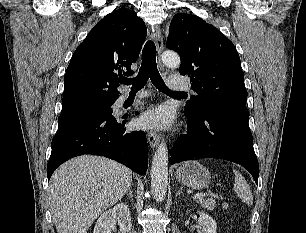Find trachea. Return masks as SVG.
Listing matches in <instances>:
<instances>
[{
  "label": "trachea",
  "instance_id": "trachea-1",
  "mask_svg": "<svg viewBox=\"0 0 306 233\" xmlns=\"http://www.w3.org/2000/svg\"><path fill=\"white\" fill-rule=\"evenodd\" d=\"M150 78L153 85L163 93L176 95L183 92H173L165 85L156 64V47L153 41H148L142 51V64L135 78H121L120 83L132 85L131 92L142 89Z\"/></svg>",
  "mask_w": 306,
  "mask_h": 233
}]
</instances>
